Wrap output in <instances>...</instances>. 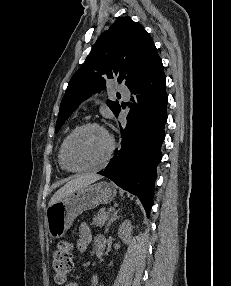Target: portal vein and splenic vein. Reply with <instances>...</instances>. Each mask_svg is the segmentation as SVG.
<instances>
[{
  "label": "portal vein and splenic vein",
  "instance_id": "portal-vein-and-splenic-vein-1",
  "mask_svg": "<svg viewBox=\"0 0 231 286\" xmlns=\"http://www.w3.org/2000/svg\"><path fill=\"white\" fill-rule=\"evenodd\" d=\"M108 210H109L110 212H112V211H114V207H110Z\"/></svg>",
  "mask_w": 231,
  "mask_h": 286
}]
</instances>
